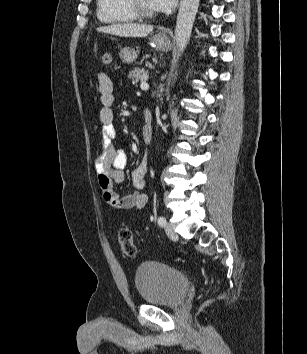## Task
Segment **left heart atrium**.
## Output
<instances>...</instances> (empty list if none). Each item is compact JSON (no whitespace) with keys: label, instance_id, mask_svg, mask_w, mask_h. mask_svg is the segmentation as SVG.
I'll return each mask as SVG.
<instances>
[{"label":"left heart atrium","instance_id":"left-heart-atrium-1","mask_svg":"<svg viewBox=\"0 0 307 354\" xmlns=\"http://www.w3.org/2000/svg\"><path fill=\"white\" fill-rule=\"evenodd\" d=\"M154 10L167 11L173 8L177 0H150Z\"/></svg>","mask_w":307,"mask_h":354}]
</instances>
